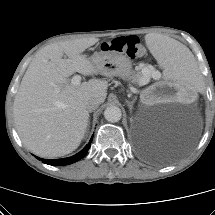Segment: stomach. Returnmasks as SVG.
Returning <instances> with one entry per match:
<instances>
[{
    "mask_svg": "<svg viewBox=\"0 0 215 215\" xmlns=\"http://www.w3.org/2000/svg\"><path fill=\"white\" fill-rule=\"evenodd\" d=\"M90 60L95 65L98 73L104 76H118L132 83L137 82L136 75L132 69V62L123 54L101 50L94 53Z\"/></svg>",
    "mask_w": 215,
    "mask_h": 215,
    "instance_id": "0dacf381",
    "label": "stomach"
}]
</instances>
